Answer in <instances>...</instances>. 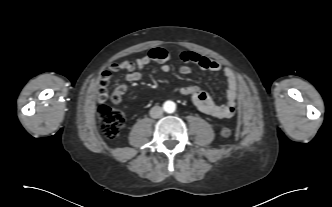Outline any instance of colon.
I'll return each mask as SVG.
<instances>
[{
    "label": "colon",
    "instance_id": "1",
    "mask_svg": "<svg viewBox=\"0 0 332 207\" xmlns=\"http://www.w3.org/2000/svg\"><path fill=\"white\" fill-rule=\"evenodd\" d=\"M105 98L106 93L104 90H101L100 100L104 101ZM111 100L114 103L119 102L120 94L115 91L111 96ZM98 117L102 134L109 139L117 137L125 122L124 114L116 108L101 103L98 107ZM221 135L223 137H229L231 135V129L229 127H223Z\"/></svg>",
    "mask_w": 332,
    "mask_h": 207
}]
</instances>
